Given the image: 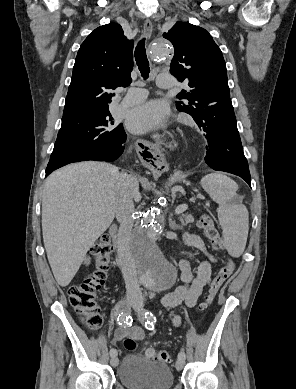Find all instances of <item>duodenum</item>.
I'll return each mask as SVG.
<instances>
[{"mask_svg": "<svg viewBox=\"0 0 296 389\" xmlns=\"http://www.w3.org/2000/svg\"><path fill=\"white\" fill-rule=\"evenodd\" d=\"M110 235L113 239V246L116 256L121 263H124L129 258L127 242L119 237L117 227L115 226L110 228Z\"/></svg>", "mask_w": 296, "mask_h": 389, "instance_id": "410a0bca", "label": "duodenum"}]
</instances>
